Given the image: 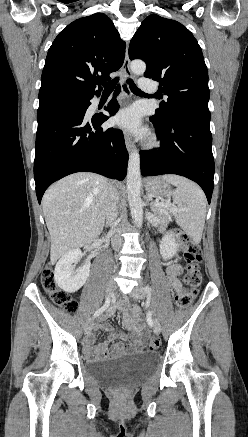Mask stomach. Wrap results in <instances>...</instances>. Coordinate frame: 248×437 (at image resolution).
Returning <instances> with one entry per match:
<instances>
[{
	"label": "stomach",
	"instance_id": "0dacf381",
	"mask_svg": "<svg viewBox=\"0 0 248 437\" xmlns=\"http://www.w3.org/2000/svg\"><path fill=\"white\" fill-rule=\"evenodd\" d=\"M145 188L148 195L162 201L169 199L172 192L170 185L161 177L148 178Z\"/></svg>",
	"mask_w": 248,
	"mask_h": 437
}]
</instances>
